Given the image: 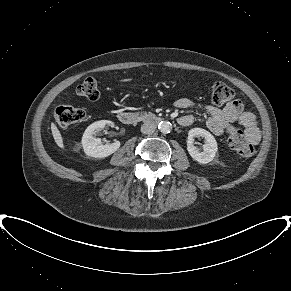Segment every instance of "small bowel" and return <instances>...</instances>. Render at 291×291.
I'll list each match as a JSON object with an SVG mask.
<instances>
[{"instance_id":"1","label":"small bowel","mask_w":291,"mask_h":291,"mask_svg":"<svg viewBox=\"0 0 291 291\" xmlns=\"http://www.w3.org/2000/svg\"><path fill=\"white\" fill-rule=\"evenodd\" d=\"M175 106L186 109L194 106V102L188 98H180L175 102ZM204 109L208 113L206 121L207 128L215 135H222L230 123L239 121L244 126L249 141L256 144L260 140V130L254 114L244 110L240 100H233L223 108L212 105H205ZM178 122L182 126H190L194 122V116L185 114L179 117Z\"/></svg>"}]
</instances>
